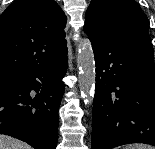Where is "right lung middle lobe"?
Listing matches in <instances>:
<instances>
[{
  "instance_id": "1",
  "label": "right lung middle lobe",
  "mask_w": 155,
  "mask_h": 149,
  "mask_svg": "<svg viewBox=\"0 0 155 149\" xmlns=\"http://www.w3.org/2000/svg\"><path fill=\"white\" fill-rule=\"evenodd\" d=\"M24 77L23 73L13 70H0V89L17 87Z\"/></svg>"
}]
</instances>
